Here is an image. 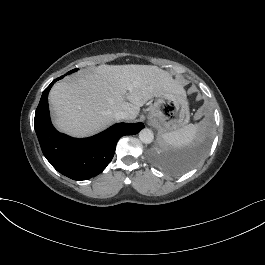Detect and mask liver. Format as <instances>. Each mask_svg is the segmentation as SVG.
Masks as SVG:
<instances>
[{
	"instance_id": "obj_1",
	"label": "liver",
	"mask_w": 265,
	"mask_h": 265,
	"mask_svg": "<svg viewBox=\"0 0 265 265\" xmlns=\"http://www.w3.org/2000/svg\"><path fill=\"white\" fill-rule=\"evenodd\" d=\"M161 96L183 100L185 92L165 71L154 66L102 65L82 73L77 82L56 83L49 102L59 129L90 135L114 122V111H126L128 120H133L141 107Z\"/></svg>"
}]
</instances>
